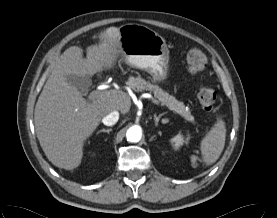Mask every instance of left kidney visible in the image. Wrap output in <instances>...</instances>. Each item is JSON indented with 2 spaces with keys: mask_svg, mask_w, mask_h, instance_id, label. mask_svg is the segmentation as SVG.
Listing matches in <instances>:
<instances>
[{
  "mask_svg": "<svg viewBox=\"0 0 277 218\" xmlns=\"http://www.w3.org/2000/svg\"><path fill=\"white\" fill-rule=\"evenodd\" d=\"M188 138L185 140L183 135L181 134H177L176 136H174L170 142L171 145L173 146L174 150H179V148L184 144L187 143Z\"/></svg>",
  "mask_w": 277,
  "mask_h": 218,
  "instance_id": "left-kidney-1",
  "label": "left kidney"
}]
</instances>
